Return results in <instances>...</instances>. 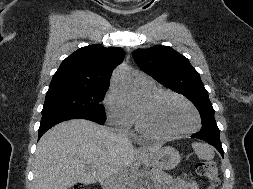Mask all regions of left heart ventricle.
Instances as JSON below:
<instances>
[{
  "instance_id": "b2bd125f",
  "label": "left heart ventricle",
  "mask_w": 253,
  "mask_h": 189,
  "mask_svg": "<svg viewBox=\"0 0 253 189\" xmlns=\"http://www.w3.org/2000/svg\"><path fill=\"white\" fill-rule=\"evenodd\" d=\"M140 111L144 113L148 127L163 134L183 132L195 124L193 111L173 97H163L151 108L144 104Z\"/></svg>"
}]
</instances>
